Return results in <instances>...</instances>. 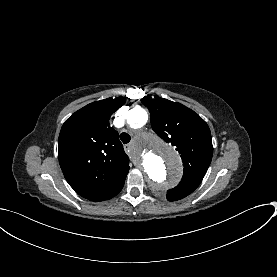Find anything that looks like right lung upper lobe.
Segmentation results:
<instances>
[{"mask_svg":"<svg viewBox=\"0 0 277 277\" xmlns=\"http://www.w3.org/2000/svg\"><path fill=\"white\" fill-rule=\"evenodd\" d=\"M125 102V98H107L90 103L70 116L61 128L58 141L61 169L70 186L88 200H108L124 185L130 169L129 158L109 119ZM73 155H79L78 163L93 170L77 172L69 168ZM108 165L115 172L104 178L97 171Z\"/></svg>","mask_w":277,"mask_h":277,"instance_id":"right-lung-upper-lobe-1","label":"right lung upper lobe"}]
</instances>
